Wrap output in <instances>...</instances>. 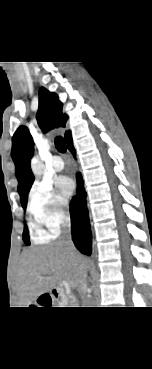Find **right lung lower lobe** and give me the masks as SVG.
<instances>
[{
	"mask_svg": "<svg viewBox=\"0 0 152 369\" xmlns=\"http://www.w3.org/2000/svg\"><path fill=\"white\" fill-rule=\"evenodd\" d=\"M68 149L75 156V149L72 140L68 143ZM77 195L70 203V214L72 224V240L76 248L85 255L91 254L92 238L86 205V192L83 187L81 174H77Z\"/></svg>",
	"mask_w": 152,
	"mask_h": 369,
	"instance_id": "1",
	"label": "right lung lower lobe"
}]
</instances>
